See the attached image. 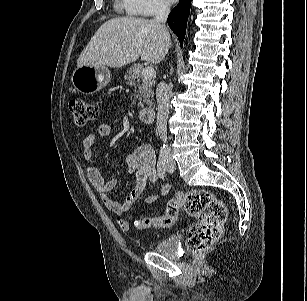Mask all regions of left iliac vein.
Masks as SVG:
<instances>
[{
    "mask_svg": "<svg viewBox=\"0 0 307 301\" xmlns=\"http://www.w3.org/2000/svg\"><path fill=\"white\" fill-rule=\"evenodd\" d=\"M166 168L169 173L174 172V170L176 169V164L174 160L172 159V154L170 152L168 154V164Z\"/></svg>",
    "mask_w": 307,
    "mask_h": 301,
    "instance_id": "4c4485c4",
    "label": "left iliac vein"
}]
</instances>
